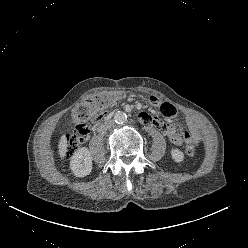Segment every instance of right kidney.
<instances>
[{
	"label": "right kidney",
	"mask_w": 248,
	"mask_h": 248,
	"mask_svg": "<svg viewBox=\"0 0 248 248\" xmlns=\"http://www.w3.org/2000/svg\"><path fill=\"white\" fill-rule=\"evenodd\" d=\"M92 156L88 148L77 149L71 157L70 169L76 177H85L92 171Z\"/></svg>",
	"instance_id": "right-kidney-1"
}]
</instances>
